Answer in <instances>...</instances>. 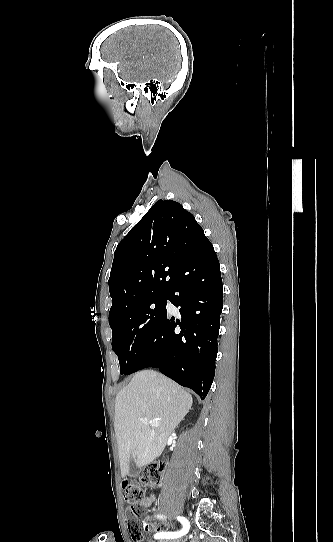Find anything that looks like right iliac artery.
Segmentation results:
<instances>
[{"instance_id": "obj_1", "label": "right iliac artery", "mask_w": 333, "mask_h": 542, "mask_svg": "<svg viewBox=\"0 0 333 542\" xmlns=\"http://www.w3.org/2000/svg\"><path fill=\"white\" fill-rule=\"evenodd\" d=\"M160 518H162V516H158ZM177 519L183 524V529L179 532H159V533H156L154 535V537L156 539H163V538H166V539H173V538H178V537H181L183 535H185L188 531H189V528H190V525H189V522L186 518L184 517H177Z\"/></svg>"}]
</instances>
